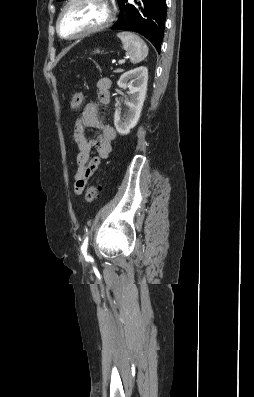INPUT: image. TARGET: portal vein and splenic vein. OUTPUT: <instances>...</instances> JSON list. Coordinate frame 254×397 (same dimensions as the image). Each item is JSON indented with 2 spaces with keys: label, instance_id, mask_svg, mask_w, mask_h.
Here are the masks:
<instances>
[{
  "label": "portal vein and splenic vein",
  "instance_id": "obj_1",
  "mask_svg": "<svg viewBox=\"0 0 254 397\" xmlns=\"http://www.w3.org/2000/svg\"><path fill=\"white\" fill-rule=\"evenodd\" d=\"M123 63V61L122 60H119V64H122Z\"/></svg>",
  "mask_w": 254,
  "mask_h": 397
}]
</instances>
